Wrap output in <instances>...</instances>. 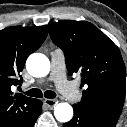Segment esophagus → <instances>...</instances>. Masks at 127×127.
Segmentation results:
<instances>
[{
	"label": "esophagus",
	"mask_w": 127,
	"mask_h": 127,
	"mask_svg": "<svg viewBox=\"0 0 127 127\" xmlns=\"http://www.w3.org/2000/svg\"><path fill=\"white\" fill-rule=\"evenodd\" d=\"M58 101L54 99H45L44 104L47 106L48 109H53Z\"/></svg>",
	"instance_id": "esophagus-1"
}]
</instances>
